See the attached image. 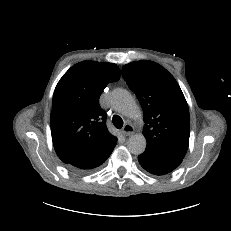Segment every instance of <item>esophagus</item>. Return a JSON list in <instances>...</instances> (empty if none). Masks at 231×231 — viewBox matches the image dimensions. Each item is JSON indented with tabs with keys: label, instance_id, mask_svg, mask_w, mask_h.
<instances>
[{
	"label": "esophagus",
	"instance_id": "esophagus-1",
	"mask_svg": "<svg viewBox=\"0 0 231 231\" xmlns=\"http://www.w3.org/2000/svg\"><path fill=\"white\" fill-rule=\"evenodd\" d=\"M134 132H135V128L131 124H125L122 129V133L125 136H131L132 134H134Z\"/></svg>",
	"mask_w": 231,
	"mask_h": 231
}]
</instances>
